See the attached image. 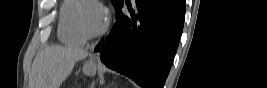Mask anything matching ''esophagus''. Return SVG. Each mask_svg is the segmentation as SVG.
I'll list each match as a JSON object with an SVG mask.
<instances>
[{
    "instance_id": "esophagus-1",
    "label": "esophagus",
    "mask_w": 267,
    "mask_h": 88,
    "mask_svg": "<svg viewBox=\"0 0 267 88\" xmlns=\"http://www.w3.org/2000/svg\"><path fill=\"white\" fill-rule=\"evenodd\" d=\"M91 60H92V61H95V60H96V58H95V57H93Z\"/></svg>"
}]
</instances>
